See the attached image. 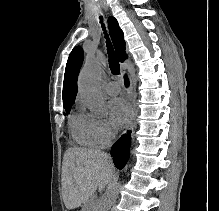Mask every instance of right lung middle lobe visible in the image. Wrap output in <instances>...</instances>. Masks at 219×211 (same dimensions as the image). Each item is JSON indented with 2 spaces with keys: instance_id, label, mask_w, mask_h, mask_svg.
Instances as JSON below:
<instances>
[{
  "instance_id": "right-lung-middle-lobe-1",
  "label": "right lung middle lobe",
  "mask_w": 219,
  "mask_h": 211,
  "mask_svg": "<svg viewBox=\"0 0 219 211\" xmlns=\"http://www.w3.org/2000/svg\"><path fill=\"white\" fill-rule=\"evenodd\" d=\"M71 107H72V104H67V105H64V108H65V111L66 113L65 114H68L71 110Z\"/></svg>"
}]
</instances>
